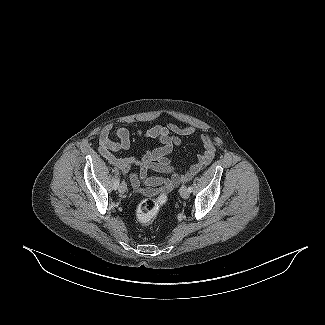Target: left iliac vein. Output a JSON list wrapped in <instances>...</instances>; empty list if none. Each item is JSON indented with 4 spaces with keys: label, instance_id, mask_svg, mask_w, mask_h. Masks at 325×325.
Here are the masks:
<instances>
[{
    "label": "left iliac vein",
    "instance_id": "4c4485c4",
    "mask_svg": "<svg viewBox=\"0 0 325 325\" xmlns=\"http://www.w3.org/2000/svg\"><path fill=\"white\" fill-rule=\"evenodd\" d=\"M180 195L182 198L187 199L189 198L190 192L185 185H182L180 188Z\"/></svg>",
    "mask_w": 325,
    "mask_h": 325
}]
</instances>
